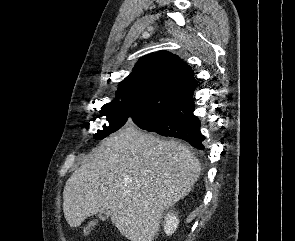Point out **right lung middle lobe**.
Returning <instances> with one entry per match:
<instances>
[{"label":"right lung middle lobe","instance_id":"obj_1","mask_svg":"<svg viewBox=\"0 0 295 241\" xmlns=\"http://www.w3.org/2000/svg\"><path fill=\"white\" fill-rule=\"evenodd\" d=\"M101 116H104L106 124L101 130L94 134V138L103 139L116 132L121 127L132 121L140 128L145 127L159 120L165 113L151 110L137 104L117 99L105 104L100 110Z\"/></svg>","mask_w":295,"mask_h":241}]
</instances>
